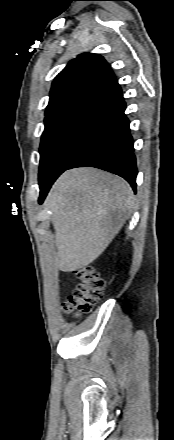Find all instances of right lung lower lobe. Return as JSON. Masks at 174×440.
<instances>
[{
  "label": "right lung lower lobe",
  "mask_w": 174,
  "mask_h": 440,
  "mask_svg": "<svg viewBox=\"0 0 174 440\" xmlns=\"http://www.w3.org/2000/svg\"><path fill=\"white\" fill-rule=\"evenodd\" d=\"M125 109L118 83L98 96L91 129L67 169L85 166L103 169L123 177L136 192V158ZM51 185L40 187L39 203L43 202Z\"/></svg>",
  "instance_id": "right-lung-lower-lobe-1"
}]
</instances>
